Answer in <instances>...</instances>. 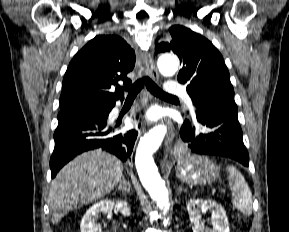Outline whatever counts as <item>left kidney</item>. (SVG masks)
Instances as JSON below:
<instances>
[{
    "label": "left kidney",
    "mask_w": 289,
    "mask_h": 232,
    "mask_svg": "<svg viewBox=\"0 0 289 232\" xmlns=\"http://www.w3.org/2000/svg\"><path fill=\"white\" fill-rule=\"evenodd\" d=\"M187 211L193 232H230L229 223L224 208L212 200L190 199L187 204ZM211 212L210 223L212 228L204 226L201 220V213Z\"/></svg>",
    "instance_id": "obj_1"
}]
</instances>
